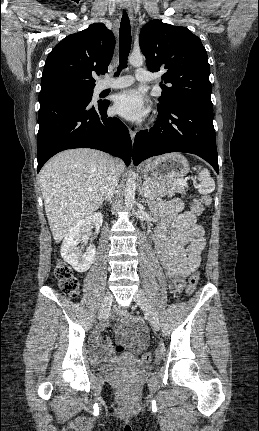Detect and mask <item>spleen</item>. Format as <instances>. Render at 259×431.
Returning a JSON list of instances; mask_svg holds the SVG:
<instances>
[{"mask_svg":"<svg viewBox=\"0 0 259 431\" xmlns=\"http://www.w3.org/2000/svg\"><path fill=\"white\" fill-rule=\"evenodd\" d=\"M198 168V180L200 181L198 185L199 193L203 195L212 193L215 190V182L211 177L210 172L208 171V169H202L201 166H199Z\"/></svg>","mask_w":259,"mask_h":431,"instance_id":"obj_1","label":"spleen"}]
</instances>
